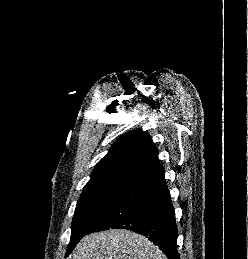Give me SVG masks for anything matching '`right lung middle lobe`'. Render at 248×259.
<instances>
[{
  "label": "right lung middle lobe",
  "instance_id": "1",
  "mask_svg": "<svg viewBox=\"0 0 248 259\" xmlns=\"http://www.w3.org/2000/svg\"><path fill=\"white\" fill-rule=\"evenodd\" d=\"M131 186L123 182H107L84 187L73 216L66 256Z\"/></svg>",
  "mask_w": 248,
  "mask_h": 259
}]
</instances>
